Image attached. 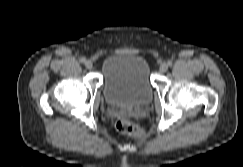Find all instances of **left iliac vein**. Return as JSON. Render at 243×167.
Returning <instances> with one entry per match:
<instances>
[{"instance_id": "left-iliac-vein-1", "label": "left iliac vein", "mask_w": 243, "mask_h": 167, "mask_svg": "<svg viewBox=\"0 0 243 167\" xmlns=\"http://www.w3.org/2000/svg\"><path fill=\"white\" fill-rule=\"evenodd\" d=\"M159 70L161 73H164L168 70V64L167 63H162L159 67Z\"/></svg>"}]
</instances>
